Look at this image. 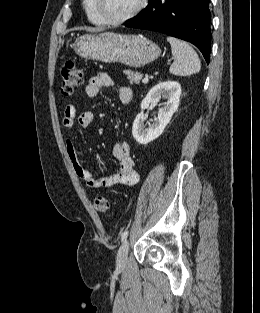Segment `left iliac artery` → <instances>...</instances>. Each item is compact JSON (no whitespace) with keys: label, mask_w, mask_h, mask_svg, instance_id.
Wrapping results in <instances>:
<instances>
[{"label":"left iliac artery","mask_w":260,"mask_h":313,"mask_svg":"<svg viewBox=\"0 0 260 313\" xmlns=\"http://www.w3.org/2000/svg\"><path fill=\"white\" fill-rule=\"evenodd\" d=\"M127 236H128V230H125V231L122 233V235H121V240H122V241L125 240V239L127 238Z\"/></svg>","instance_id":"1"}]
</instances>
